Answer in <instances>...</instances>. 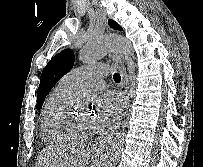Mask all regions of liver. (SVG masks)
<instances>
[{
    "label": "liver",
    "mask_w": 203,
    "mask_h": 167,
    "mask_svg": "<svg viewBox=\"0 0 203 167\" xmlns=\"http://www.w3.org/2000/svg\"><path fill=\"white\" fill-rule=\"evenodd\" d=\"M94 149L81 144H70L58 149L46 148L38 156L36 167H87Z\"/></svg>",
    "instance_id": "obj_1"
}]
</instances>
